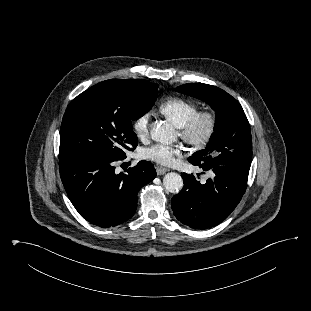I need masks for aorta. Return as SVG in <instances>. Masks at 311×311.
Segmentation results:
<instances>
[{"label":"aorta","instance_id":"1","mask_svg":"<svg viewBox=\"0 0 311 311\" xmlns=\"http://www.w3.org/2000/svg\"><path fill=\"white\" fill-rule=\"evenodd\" d=\"M152 140L168 145L176 140V134L172 127L167 122L160 121L155 123L150 131ZM163 185L170 193H178L183 187L182 177L175 173H167L163 178Z\"/></svg>","mask_w":311,"mask_h":311}]
</instances>
